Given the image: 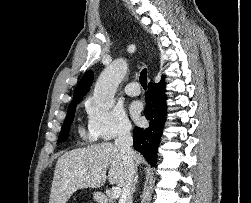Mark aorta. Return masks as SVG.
I'll return each instance as SVG.
<instances>
[{"label": "aorta", "mask_w": 251, "mask_h": 203, "mask_svg": "<svg viewBox=\"0 0 251 203\" xmlns=\"http://www.w3.org/2000/svg\"><path fill=\"white\" fill-rule=\"evenodd\" d=\"M128 65L125 60L117 59L100 74L94 88V99L99 107L109 110L114 105V95L125 77Z\"/></svg>", "instance_id": "obj_1"}]
</instances>
